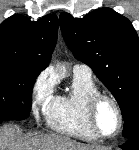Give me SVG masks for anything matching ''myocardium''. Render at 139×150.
Returning a JSON list of instances; mask_svg holds the SVG:
<instances>
[{
	"label": "myocardium",
	"mask_w": 139,
	"mask_h": 150,
	"mask_svg": "<svg viewBox=\"0 0 139 150\" xmlns=\"http://www.w3.org/2000/svg\"><path fill=\"white\" fill-rule=\"evenodd\" d=\"M102 101L110 102L113 105V107L116 111L117 117H118V127H117L116 132L112 135L103 134L97 125L96 113H97V109ZM86 114H87V120H88L90 128L99 138H102V139L115 138L120 134V132L123 128L124 120H123V114H122L120 105L118 104L117 100L114 97H112L111 95L99 92L96 95L92 96L88 101Z\"/></svg>",
	"instance_id": "1"
}]
</instances>
